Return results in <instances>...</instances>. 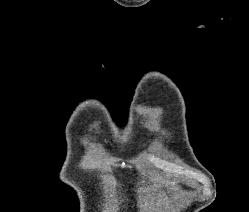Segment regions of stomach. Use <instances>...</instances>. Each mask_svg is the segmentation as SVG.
<instances>
[{"mask_svg":"<svg viewBox=\"0 0 249 212\" xmlns=\"http://www.w3.org/2000/svg\"><path fill=\"white\" fill-rule=\"evenodd\" d=\"M172 190H175L176 186H171Z\"/></svg>","mask_w":249,"mask_h":212,"instance_id":"obj_1","label":"stomach"}]
</instances>
